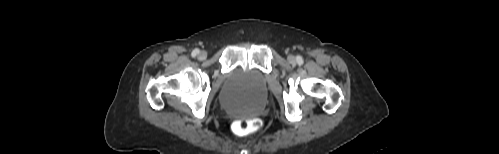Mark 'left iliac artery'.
I'll use <instances>...</instances> for the list:
<instances>
[{
  "label": "left iliac artery",
  "mask_w": 499,
  "mask_h": 154,
  "mask_svg": "<svg viewBox=\"0 0 499 154\" xmlns=\"http://www.w3.org/2000/svg\"><path fill=\"white\" fill-rule=\"evenodd\" d=\"M296 60H297V62H298L299 64H302V63H303V59H302V57H301V56H297V57H296Z\"/></svg>",
  "instance_id": "1"
}]
</instances>
